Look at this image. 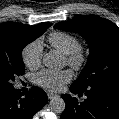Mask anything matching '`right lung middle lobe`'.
I'll return each mask as SVG.
<instances>
[{
    "label": "right lung middle lobe",
    "instance_id": "1",
    "mask_svg": "<svg viewBox=\"0 0 119 119\" xmlns=\"http://www.w3.org/2000/svg\"><path fill=\"white\" fill-rule=\"evenodd\" d=\"M45 30L14 31L0 42V92L13 88L12 82L15 78L24 74L22 50L27 44L41 36Z\"/></svg>",
    "mask_w": 119,
    "mask_h": 119
}]
</instances>
